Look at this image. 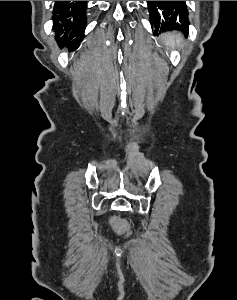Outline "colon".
<instances>
[{"instance_id": "obj_1", "label": "colon", "mask_w": 237, "mask_h": 300, "mask_svg": "<svg viewBox=\"0 0 237 300\" xmlns=\"http://www.w3.org/2000/svg\"><path fill=\"white\" fill-rule=\"evenodd\" d=\"M111 224L118 232H125L128 230V223L117 217L112 219Z\"/></svg>"}]
</instances>
